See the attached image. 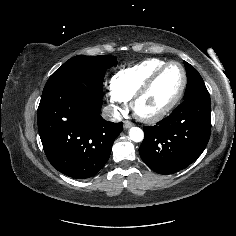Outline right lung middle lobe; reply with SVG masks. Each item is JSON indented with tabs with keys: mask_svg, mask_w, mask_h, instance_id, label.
<instances>
[{
	"mask_svg": "<svg viewBox=\"0 0 236 236\" xmlns=\"http://www.w3.org/2000/svg\"><path fill=\"white\" fill-rule=\"evenodd\" d=\"M116 63L114 56L77 55L69 59L50 76L43 92L65 84L81 82L96 95L103 97L102 83L105 72Z\"/></svg>",
	"mask_w": 236,
	"mask_h": 236,
	"instance_id": "right-lung-middle-lobe-1",
	"label": "right lung middle lobe"
}]
</instances>
